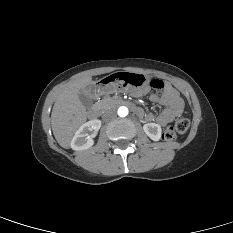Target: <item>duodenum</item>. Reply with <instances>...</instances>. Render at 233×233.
<instances>
[{"mask_svg":"<svg viewBox=\"0 0 233 233\" xmlns=\"http://www.w3.org/2000/svg\"><path fill=\"white\" fill-rule=\"evenodd\" d=\"M119 104L120 105H124V106H127L129 108H131L135 114H137L138 116H141L142 115V111L141 109H139L138 107H136L133 103H131L130 101L128 100H124V99H121L119 100ZM99 114H100V110L98 107H93L89 110V117L93 120H96L98 119L99 117Z\"/></svg>","mask_w":233,"mask_h":233,"instance_id":"410a0bca","label":"duodenum"}]
</instances>
